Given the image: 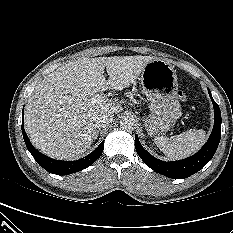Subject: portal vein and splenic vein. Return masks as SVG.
<instances>
[{
    "label": "portal vein and splenic vein",
    "instance_id": "18ae733b",
    "mask_svg": "<svg viewBox=\"0 0 233 233\" xmlns=\"http://www.w3.org/2000/svg\"><path fill=\"white\" fill-rule=\"evenodd\" d=\"M105 102V97L103 95H95L91 98L92 104H103Z\"/></svg>",
    "mask_w": 233,
    "mask_h": 233
}]
</instances>
